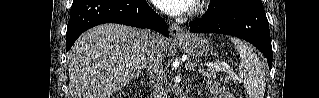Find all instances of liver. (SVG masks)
<instances>
[{"mask_svg": "<svg viewBox=\"0 0 319 98\" xmlns=\"http://www.w3.org/2000/svg\"><path fill=\"white\" fill-rule=\"evenodd\" d=\"M148 40V31L119 24L82 34L68 55L70 98H110L128 85L146 65Z\"/></svg>", "mask_w": 319, "mask_h": 98, "instance_id": "6515ba94", "label": "liver"}]
</instances>
